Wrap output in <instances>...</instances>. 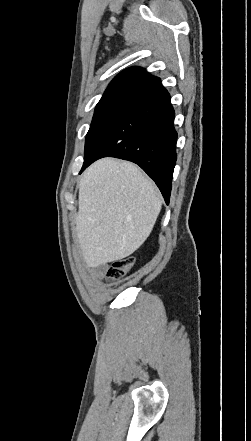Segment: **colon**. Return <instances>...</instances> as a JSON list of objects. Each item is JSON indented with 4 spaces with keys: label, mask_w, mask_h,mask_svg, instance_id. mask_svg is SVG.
Listing matches in <instances>:
<instances>
[{
    "label": "colon",
    "mask_w": 251,
    "mask_h": 441,
    "mask_svg": "<svg viewBox=\"0 0 251 441\" xmlns=\"http://www.w3.org/2000/svg\"><path fill=\"white\" fill-rule=\"evenodd\" d=\"M133 256H124L117 258L106 270V279L110 282L118 280L126 275L134 264Z\"/></svg>",
    "instance_id": "obj_1"
}]
</instances>
